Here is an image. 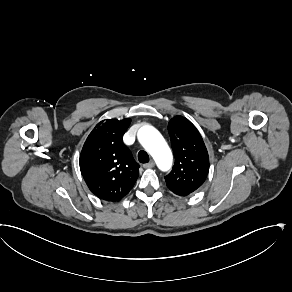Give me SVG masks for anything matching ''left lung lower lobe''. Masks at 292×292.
I'll list each match as a JSON object with an SVG mask.
<instances>
[{"mask_svg":"<svg viewBox=\"0 0 292 292\" xmlns=\"http://www.w3.org/2000/svg\"><path fill=\"white\" fill-rule=\"evenodd\" d=\"M177 195H180V196H187V195H189V194H177Z\"/></svg>","mask_w":292,"mask_h":292,"instance_id":"0a47b994","label":"left lung lower lobe"}]
</instances>
